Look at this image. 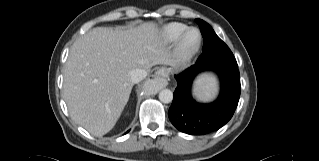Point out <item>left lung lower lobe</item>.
Returning a JSON list of instances; mask_svg holds the SVG:
<instances>
[{
  "label": "left lung lower lobe",
  "instance_id": "1",
  "mask_svg": "<svg viewBox=\"0 0 319 161\" xmlns=\"http://www.w3.org/2000/svg\"><path fill=\"white\" fill-rule=\"evenodd\" d=\"M214 71L221 83L217 100L210 104L197 103L191 96V85L195 76ZM177 87L168 111L171 123L181 132L190 135H204L217 131L233 116L240 97L241 85L237 63L213 62L195 63L182 73L175 75Z\"/></svg>",
  "mask_w": 319,
  "mask_h": 161
}]
</instances>
